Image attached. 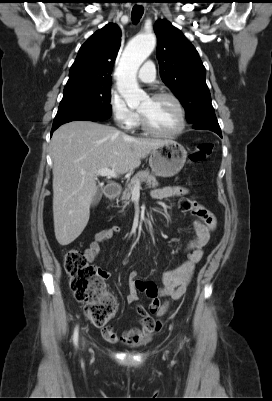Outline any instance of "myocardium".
<instances>
[{"mask_svg": "<svg viewBox=\"0 0 272 401\" xmlns=\"http://www.w3.org/2000/svg\"><path fill=\"white\" fill-rule=\"evenodd\" d=\"M150 98L152 100L163 99V98L172 100L175 103V105L179 111L180 123H179V126L173 131H170V132L160 131V130L153 128L148 123L146 116L142 112L139 111L138 113H139V121H140L141 128L146 133L154 135V136H158V137H176V136L180 135L186 128V124H187L186 111H185L184 105L181 102V100L176 95L169 93V92H157V93L152 94Z\"/></svg>", "mask_w": 272, "mask_h": 401, "instance_id": "obj_1", "label": "myocardium"}]
</instances>
